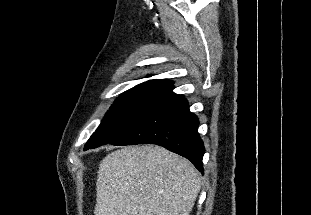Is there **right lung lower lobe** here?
<instances>
[{
  "mask_svg": "<svg viewBox=\"0 0 311 215\" xmlns=\"http://www.w3.org/2000/svg\"><path fill=\"white\" fill-rule=\"evenodd\" d=\"M198 126V118L190 112L187 100L182 95L173 93L170 88L146 116L110 144L160 145L187 158L203 172L202 159L205 148L198 133Z\"/></svg>",
  "mask_w": 311,
  "mask_h": 215,
  "instance_id": "98d812e1",
  "label": "right lung lower lobe"
}]
</instances>
